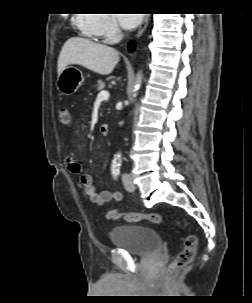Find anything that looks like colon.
<instances>
[{
  "label": "colon",
  "instance_id": "colon-1",
  "mask_svg": "<svg viewBox=\"0 0 252 303\" xmlns=\"http://www.w3.org/2000/svg\"><path fill=\"white\" fill-rule=\"evenodd\" d=\"M59 121L63 125L70 123V113L67 108L59 110ZM106 218L108 220H117L123 218L128 222L148 221L153 224L163 222V217L157 213H122L117 210L108 211ZM197 251V240L193 236L185 239L182 249L176 254L173 261L170 263L168 273L170 276L176 275L182 268L192 262Z\"/></svg>",
  "mask_w": 252,
  "mask_h": 303
}]
</instances>
